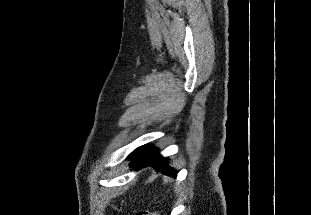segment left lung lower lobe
Wrapping results in <instances>:
<instances>
[{
	"mask_svg": "<svg viewBox=\"0 0 311 215\" xmlns=\"http://www.w3.org/2000/svg\"><path fill=\"white\" fill-rule=\"evenodd\" d=\"M131 158L130 167L140 168L146 166H153L157 171L166 174L167 176L176 177L177 170L167 166L169 162L166 158H163L159 153L148 145H144L135 149L130 155Z\"/></svg>",
	"mask_w": 311,
	"mask_h": 215,
	"instance_id": "1",
	"label": "left lung lower lobe"
}]
</instances>
